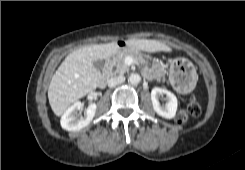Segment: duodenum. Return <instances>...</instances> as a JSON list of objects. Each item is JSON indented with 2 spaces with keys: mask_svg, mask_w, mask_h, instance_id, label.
<instances>
[{
  "mask_svg": "<svg viewBox=\"0 0 245 170\" xmlns=\"http://www.w3.org/2000/svg\"><path fill=\"white\" fill-rule=\"evenodd\" d=\"M128 46L125 41H117L113 44V51L107 56L102 74V84L105 85L113 76V60L116 53Z\"/></svg>",
  "mask_w": 245,
  "mask_h": 170,
  "instance_id": "duodenum-1",
  "label": "duodenum"
}]
</instances>
